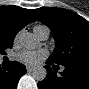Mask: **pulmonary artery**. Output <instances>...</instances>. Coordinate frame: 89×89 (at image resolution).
I'll list each match as a JSON object with an SVG mask.
<instances>
[{
	"label": "pulmonary artery",
	"instance_id": "e3ab8cb5",
	"mask_svg": "<svg viewBox=\"0 0 89 89\" xmlns=\"http://www.w3.org/2000/svg\"><path fill=\"white\" fill-rule=\"evenodd\" d=\"M34 33L39 40H47L50 35V30L46 26L38 27L34 29Z\"/></svg>",
	"mask_w": 89,
	"mask_h": 89
}]
</instances>
